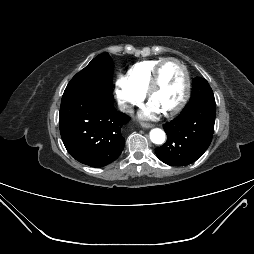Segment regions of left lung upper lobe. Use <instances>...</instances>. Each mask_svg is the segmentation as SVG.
I'll return each mask as SVG.
<instances>
[{"label":"left lung upper lobe","instance_id":"5c2ea615","mask_svg":"<svg viewBox=\"0 0 254 254\" xmlns=\"http://www.w3.org/2000/svg\"><path fill=\"white\" fill-rule=\"evenodd\" d=\"M190 102H215L213 91L206 79L201 77H196L193 79Z\"/></svg>","mask_w":254,"mask_h":254}]
</instances>
